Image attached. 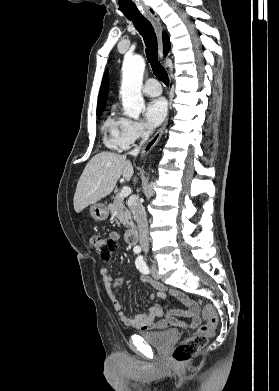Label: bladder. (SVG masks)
Segmentation results:
<instances>
[{"mask_svg": "<svg viewBox=\"0 0 279 391\" xmlns=\"http://www.w3.org/2000/svg\"><path fill=\"white\" fill-rule=\"evenodd\" d=\"M140 336L150 345L164 349L175 342L179 337L176 330L141 332Z\"/></svg>", "mask_w": 279, "mask_h": 391, "instance_id": "1", "label": "bladder"}]
</instances>
